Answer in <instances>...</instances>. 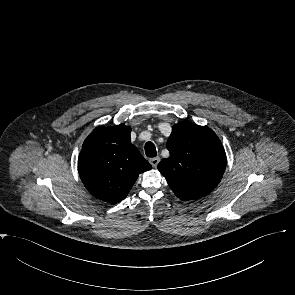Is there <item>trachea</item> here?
Masks as SVG:
<instances>
[{"label": "trachea", "instance_id": "trachea-1", "mask_svg": "<svg viewBox=\"0 0 295 295\" xmlns=\"http://www.w3.org/2000/svg\"><path fill=\"white\" fill-rule=\"evenodd\" d=\"M145 153L147 157H156V147L152 142L149 141L145 144Z\"/></svg>", "mask_w": 295, "mask_h": 295}]
</instances>
